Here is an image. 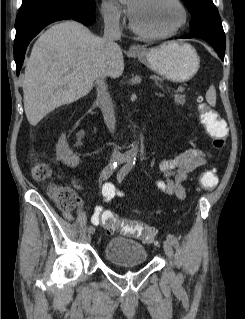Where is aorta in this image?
Instances as JSON below:
<instances>
[{
    "instance_id": "obj_1",
    "label": "aorta",
    "mask_w": 245,
    "mask_h": 319,
    "mask_svg": "<svg viewBox=\"0 0 245 319\" xmlns=\"http://www.w3.org/2000/svg\"><path fill=\"white\" fill-rule=\"evenodd\" d=\"M138 154V145L137 142L132 143L131 149L126 152L127 159L130 161L136 160Z\"/></svg>"
}]
</instances>
